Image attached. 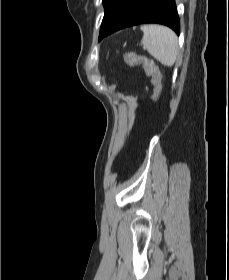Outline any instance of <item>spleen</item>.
<instances>
[{
	"label": "spleen",
	"instance_id": "obj_1",
	"mask_svg": "<svg viewBox=\"0 0 229 280\" xmlns=\"http://www.w3.org/2000/svg\"><path fill=\"white\" fill-rule=\"evenodd\" d=\"M141 44L148 53L165 66H172L178 56V39L169 28L161 25H143Z\"/></svg>",
	"mask_w": 229,
	"mask_h": 280
}]
</instances>
